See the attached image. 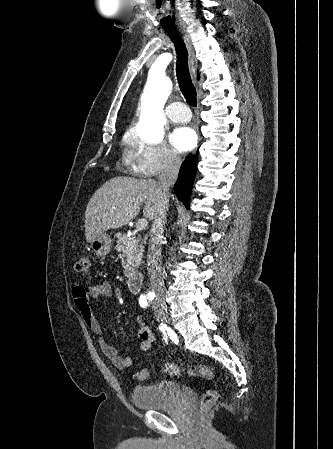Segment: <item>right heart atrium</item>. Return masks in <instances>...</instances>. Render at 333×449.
<instances>
[{"label": "right heart atrium", "mask_w": 333, "mask_h": 449, "mask_svg": "<svg viewBox=\"0 0 333 449\" xmlns=\"http://www.w3.org/2000/svg\"><path fill=\"white\" fill-rule=\"evenodd\" d=\"M130 145L129 158L141 177L151 178L174 172L181 165L180 156L165 143H148L135 138Z\"/></svg>", "instance_id": "1"}]
</instances>
